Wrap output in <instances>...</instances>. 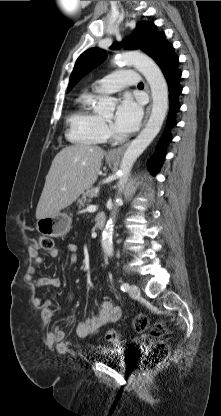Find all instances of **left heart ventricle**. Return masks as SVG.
I'll return each instance as SVG.
<instances>
[{"label": "left heart ventricle", "mask_w": 221, "mask_h": 416, "mask_svg": "<svg viewBox=\"0 0 221 416\" xmlns=\"http://www.w3.org/2000/svg\"><path fill=\"white\" fill-rule=\"evenodd\" d=\"M111 118H112V116H111V115H109V116L105 117V119H106V120H109V121L111 120Z\"/></svg>", "instance_id": "1"}]
</instances>
